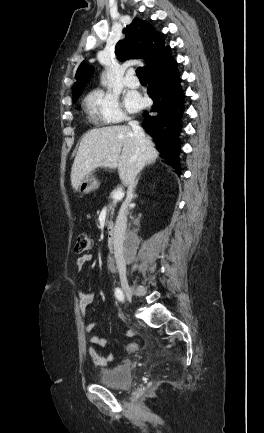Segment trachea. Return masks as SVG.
<instances>
[{
	"label": "trachea",
	"mask_w": 264,
	"mask_h": 433,
	"mask_svg": "<svg viewBox=\"0 0 264 433\" xmlns=\"http://www.w3.org/2000/svg\"><path fill=\"white\" fill-rule=\"evenodd\" d=\"M136 75H137L138 78H144V75H143V73H142V71H141L140 68L136 69Z\"/></svg>",
	"instance_id": "obj_1"
}]
</instances>
